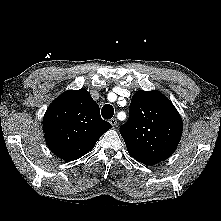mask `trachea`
<instances>
[{"label":"trachea","instance_id":"obj_1","mask_svg":"<svg viewBox=\"0 0 221 221\" xmlns=\"http://www.w3.org/2000/svg\"><path fill=\"white\" fill-rule=\"evenodd\" d=\"M101 113L104 119H110L114 115V108L112 107V105L106 104L102 107Z\"/></svg>","mask_w":221,"mask_h":221}]
</instances>
